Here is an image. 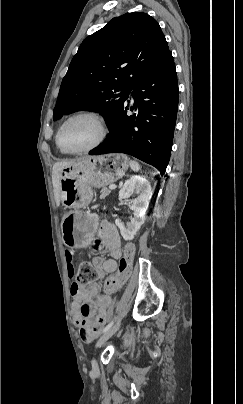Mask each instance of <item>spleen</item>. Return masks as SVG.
I'll use <instances>...</instances> for the list:
<instances>
[{
	"label": "spleen",
	"mask_w": 243,
	"mask_h": 404,
	"mask_svg": "<svg viewBox=\"0 0 243 404\" xmlns=\"http://www.w3.org/2000/svg\"><path fill=\"white\" fill-rule=\"evenodd\" d=\"M129 166H130L131 170H133V172H139V170H140V166H139L138 162H134V160H130Z\"/></svg>",
	"instance_id": "1"
}]
</instances>
